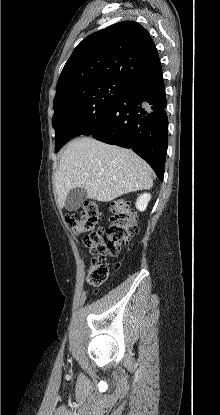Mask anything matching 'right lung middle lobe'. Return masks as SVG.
<instances>
[{
  "mask_svg": "<svg viewBox=\"0 0 220 415\" xmlns=\"http://www.w3.org/2000/svg\"><path fill=\"white\" fill-rule=\"evenodd\" d=\"M129 86V83L116 79L89 81L56 94L52 120L56 133L55 151L75 136L94 133Z\"/></svg>",
  "mask_w": 220,
  "mask_h": 415,
  "instance_id": "dd1d6c3e",
  "label": "right lung middle lobe"
}]
</instances>
